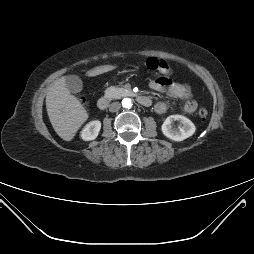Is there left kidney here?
I'll use <instances>...</instances> for the list:
<instances>
[{
    "mask_svg": "<svg viewBox=\"0 0 254 254\" xmlns=\"http://www.w3.org/2000/svg\"><path fill=\"white\" fill-rule=\"evenodd\" d=\"M178 121V127H173V122ZM195 125L182 115H171L162 124L163 134L173 141H183L195 133Z\"/></svg>",
    "mask_w": 254,
    "mask_h": 254,
    "instance_id": "left-kidney-1",
    "label": "left kidney"
}]
</instances>
